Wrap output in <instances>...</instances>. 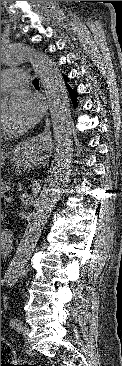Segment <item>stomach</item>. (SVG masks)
<instances>
[{
    "instance_id": "stomach-1",
    "label": "stomach",
    "mask_w": 122,
    "mask_h": 366,
    "mask_svg": "<svg viewBox=\"0 0 122 366\" xmlns=\"http://www.w3.org/2000/svg\"><path fill=\"white\" fill-rule=\"evenodd\" d=\"M23 156H24V153L18 154V155H16L15 160H20L21 157H23Z\"/></svg>"
}]
</instances>
